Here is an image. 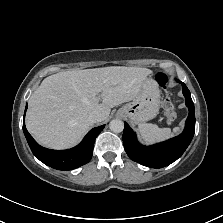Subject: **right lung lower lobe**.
Listing matches in <instances>:
<instances>
[{"instance_id":"right-lung-lower-lobe-1","label":"right lung lower lobe","mask_w":223,"mask_h":223,"mask_svg":"<svg viewBox=\"0 0 223 223\" xmlns=\"http://www.w3.org/2000/svg\"><path fill=\"white\" fill-rule=\"evenodd\" d=\"M25 108V112L26 109ZM25 116V114H24ZM104 125L93 128L76 147L68 150H51L40 146L28 133L23 120V131L32 153L44 164L58 170H72L88 163L94 142Z\"/></svg>"}]
</instances>
